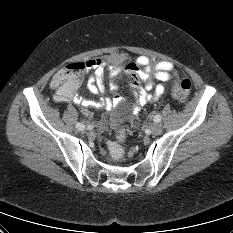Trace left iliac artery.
<instances>
[{
    "label": "left iliac artery",
    "instance_id": "left-iliac-artery-1",
    "mask_svg": "<svg viewBox=\"0 0 233 233\" xmlns=\"http://www.w3.org/2000/svg\"><path fill=\"white\" fill-rule=\"evenodd\" d=\"M154 122L155 123H159L160 121H161V115L160 114H156L155 116H154Z\"/></svg>",
    "mask_w": 233,
    "mask_h": 233
}]
</instances>
